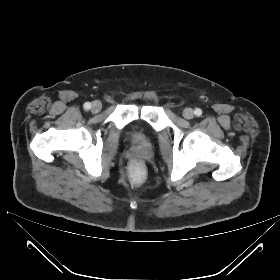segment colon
I'll list each match as a JSON object with an SVG mask.
<instances>
[{
    "mask_svg": "<svg viewBox=\"0 0 280 280\" xmlns=\"http://www.w3.org/2000/svg\"><path fill=\"white\" fill-rule=\"evenodd\" d=\"M142 178H143V173H142L141 169L134 168L133 175H132L133 181L136 183H139V182H141Z\"/></svg>",
    "mask_w": 280,
    "mask_h": 280,
    "instance_id": "obj_1",
    "label": "colon"
}]
</instances>
